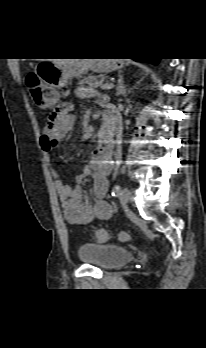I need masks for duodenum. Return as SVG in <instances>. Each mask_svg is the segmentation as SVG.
<instances>
[{"label":"duodenum","instance_id":"duodenum-1","mask_svg":"<svg viewBox=\"0 0 206 348\" xmlns=\"http://www.w3.org/2000/svg\"><path fill=\"white\" fill-rule=\"evenodd\" d=\"M104 124L96 134V140L100 147H105L109 150L113 149V139L115 136L116 118L112 111L104 113Z\"/></svg>","mask_w":206,"mask_h":348}]
</instances>
